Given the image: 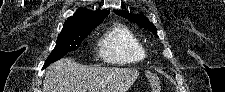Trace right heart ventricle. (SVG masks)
Here are the masks:
<instances>
[{
    "label": "right heart ventricle",
    "mask_w": 225,
    "mask_h": 92,
    "mask_svg": "<svg viewBox=\"0 0 225 92\" xmlns=\"http://www.w3.org/2000/svg\"><path fill=\"white\" fill-rule=\"evenodd\" d=\"M99 54L111 64H137L147 56L140 37L124 25H117L103 35L99 41Z\"/></svg>",
    "instance_id": "right-heart-ventricle-1"
}]
</instances>
